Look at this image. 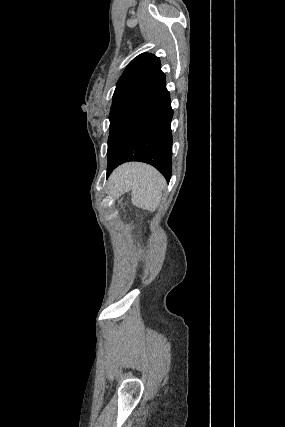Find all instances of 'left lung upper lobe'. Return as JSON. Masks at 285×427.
<instances>
[{
	"label": "left lung upper lobe",
	"mask_w": 285,
	"mask_h": 427,
	"mask_svg": "<svg viewBox=\"0 0 285 427\" xmlns=\"http://www.w3.org/2000/svg\"><path fill=\"white\" fill-rule=\"evenodd\" d=\"M164 84L165 74L155 55L142 53L128 64L116 84L109 114L108 166L126 127Z\"/></svg>",
	"instance_id": "left-lung-upper-lobe-1"
}]
</instances>
